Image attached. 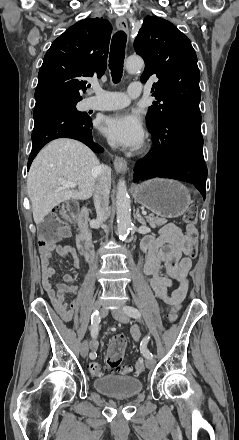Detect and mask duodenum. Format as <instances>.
<instances>
[{"label": "duodenum", "instance_id": "obj_1", "mask_svg": "<svg viewBox=\"0 0 239 440\" xmlns=\"http://www.w3.org/2000/svg\"><path fill=\"white\" fill-rule=\"evenodd\" d=\"M89 210L83 207L78 216V229L79 234L77 236V247L80 253L86 258L87 261H92L94 250L93 242L90 230L88 228Z\"/></svg>", "mask_w": 239, "mask_h": 440}]
</instances>
